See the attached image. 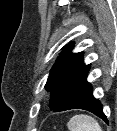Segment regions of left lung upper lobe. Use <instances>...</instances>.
Listing matches in <instances>:
<instances>
[{
    "instance_id": "left-lung-upper-lobe-1",
    "label": "left lung upper lobe",
    "mask_w": 117,
    "mask_h": 131,
    "mask_svg": "<svg viewBox=\"0 0 117 131\" xmlns=\"http://www.w3.org/2000/svg\"><path fill=\"white\" fill-rule=\"evenodd\" d=\"M73 45H68L53 66L46 88L51 90L50 108L64 111L71 104L70 93L74 89H82L87 85L90 65L83 62V52L71 53Z\"/></svg>"
}]
</instances>
